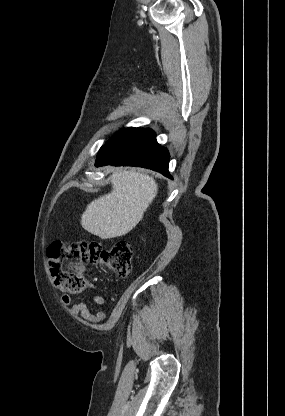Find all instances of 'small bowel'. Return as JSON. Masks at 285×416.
<instances>
[{
    "mask_svg": "<svg viewBox=\"0 0 285 416\" xmlns=\"http://www.w3.org/2000/svg\"><path fill=\"white\" fill-rule=\"evenodd\" d=\"M89 298L99 307L105 305V299L102 296L89 295ZM61 301L64 305H70L72 302L71 295L64 294ZM69 311L72 316H79L91 324H98L106 318V314L101 308H98L94 313H92L88 306L83 302L71 305Z\"/></svg>",
    "mask_w": 285,
    "mask_h": 416,
    "instance_id": "small-bowel-1",
    "label": "small bowel"
}]
</instances>
